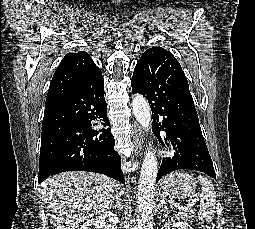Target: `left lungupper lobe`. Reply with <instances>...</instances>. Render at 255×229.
Instances as JSON below:
<instances>
[{
	"mask_svg": "<svg viewBox=\"0 0 255 229\" xmlns=\"http://www.w3.org/2000/svg\"><path fill=\"white\" fill-rule=\"evenodd\" d=\"M159 50H165V49H163L161 47H154V48L148 49L145 53H152V52H156V51H159Z\"/></svg>",
	"mask_w": 255,
	"mask_h": 229,
	"instance_id": "1",
	"label": "left lung upper lobe"
}]
</instances>
